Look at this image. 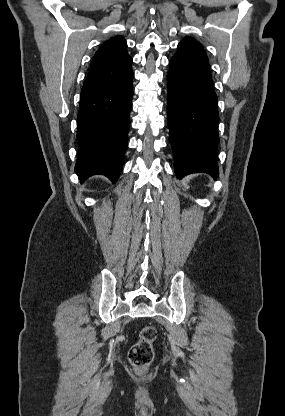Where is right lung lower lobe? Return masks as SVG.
I'll return each instance as SVG.
<instances>
[{
	"instance_id": "right-lung-lower-lobe-1",
	"label": "right lung lower lobe",
	"mask_w": 285,
	"mask_h": 416,
	"mask_svg": "<svg viewBox=\"0 0 285 416\" xmlns=\"http://www.w3.org/2000/svg\"><path fill=\"white\" fill-rule=\"evenodd\" d=\"M133 72L119 81L82 94L77 117L75 172L81 181L94 174L115 182L122 170L133 93Z\"/></svg>"
}]
</instances>
